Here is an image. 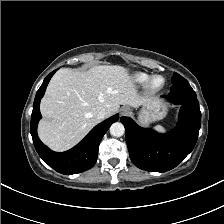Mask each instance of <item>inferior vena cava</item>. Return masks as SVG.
Wrapping results in <instances>:
<instances>
[{"mask_svg": "<svg viewBox=\"0 0 224 224\" xmlns=\"http://www.w3.org/2000/svg\"><path fill=\"white\" fill-rule=\"evenodd\" d=\"M107 117V110L105 108L101 109L98 114H97V118L99 120H103Z\"/></svg>", "mask_w": 224, "mask_h": 224, "instance_id": "1", "label": "inferior vena cava"}]
</instances>
